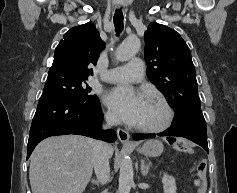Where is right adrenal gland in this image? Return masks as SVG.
<instances>
[{
    "label": "right adrenal gland",
    "mask_w": 237,
    "mask_h": 193,
    "mask_svg": "<svg viewBox=\"0 0 237 193\" xmlns=\"http://www.w3.org/2000/svg\"><path fill=\"white\" fill-rule=\"evenodd\" d=\"M91 182H92V184H95L97 186L100 184V181L97 179H91Z\"/></svg>",
    "instance_id": "1"
}]
</instances>
